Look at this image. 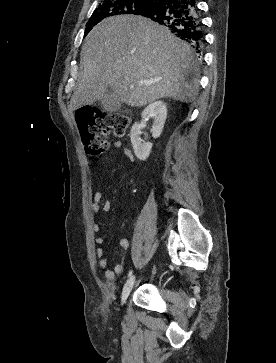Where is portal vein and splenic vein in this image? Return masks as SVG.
Returning a JSON list of instances; mask_svg holds the SVG:
<instances>
[{
	"mask_svg": "<svg viewBox=\"0 0 276 363\" xmlns=\"http://www.w3.org/2000/svg\"><path fill=\"white\" fill-rule=\"evenodd\" d=\"M130 88H131V89H133V88H134V86L132 85Z\"/></svg>",
	"mask_w": 276,
	"mask_h": 363,
	"instance_id": "obj_1",
	"label": "portal vein and splenic vein"
}]
</instances>
